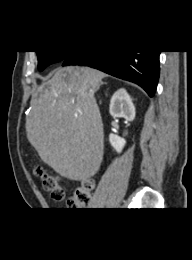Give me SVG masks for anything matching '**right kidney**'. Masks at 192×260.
I'll list each match as a JSON object with an SVG mask.
<instances>
[{
  "mask_svg": "<svg viewBox=\"0 0 192 260\" xmlns=\"http://www.w3.org/2000/svg\"><path fill=\"white\" fill-rule=\"evenodd\" d=\"M109 112L114 118L122 117L127 121L134 120L135 107L125 89H119L114 93L110 101ZM109 142L117 153H121L126 144L125 139L113 133L109 135Z\"/></svg>",
  "mask_w": 192,
  "mask_h": 260,
  "instance_id": "ca27d5eb",
  "label": "right kidney"
}]
</instances>
